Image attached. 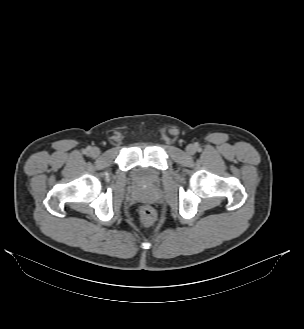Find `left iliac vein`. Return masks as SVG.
Wrapping results in <instances>:
<instances>
[{
    "mask_svg": "<svg viewBox=\"0 0 304 329\" xmlns=\"http://www.w3.org/2000/svg\"><path fill=\"white\" fill-rule=\"evenodd\" d=\"M186 151L189 155H193L195 153V147L190 144L186 147Z\"/></svg>",
    "mask_w": 304,
    "mask_h": 329,
    "instance_id": "4c4485c4",
    "label": "left iliac vein"
}]
</instances>
